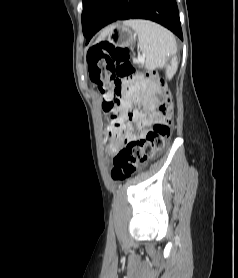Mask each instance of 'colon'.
<instances>
[{"mask_svg": "<svg viewBox=\"0 0 238 278\" xmlns=\"http://www.w3.org/2000/svg\"><path fill=\"white\" fill-rule=\"evenodd\" d=\"M87 63L90 80L103 98V110L110 114L111 123L108 131L112 133L117 127L119 100L123 86L138 77L130 52L125 47L102 41L89 48ZM139 77L144 80L145 86L151 92V97L156 101L155 110L158 118L144 139L131 141L116 153L111 171L115 181L129 178L140 165L161 153L171 135L173 104L170 97L154 89L150 73L147 72Z\"/></svg>", "mask_w": 238, "mask_h": 278, "instance_id": "5ec220e1", "label": "colon"}]
</instances>
